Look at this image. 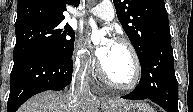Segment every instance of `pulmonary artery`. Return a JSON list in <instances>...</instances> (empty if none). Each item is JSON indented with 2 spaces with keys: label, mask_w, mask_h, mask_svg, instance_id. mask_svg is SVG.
<instances>
[{
  "label": "pulmonary artery",
  "mask_w": 193,
  "mask_h": 112,
  "mask_svg": "<svg viewBox=\"0 0 193 112\" xmlns=\"http://www.w3.org/2000/svg\"><path fill=\"white\" fill-rule=\"evenodd\" d=\"M86 14L95 16L102 20L111 21L114 18V7L109 0H104L94 8L90 9Z\"/></svg>",
  "instance_id": "pulmonary-artery-1"
}]
</instances>
